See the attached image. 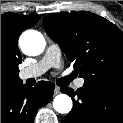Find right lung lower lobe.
Masks as SVG:
<instances>
[{"mask_svg": "<svg viewBox=\"0 0 123 123\" xmlns=\"http://www.w3.org/2000/svg\"><path fill=\"white\" fill-rule=\"evenodd\" d=\"M54 84L40 81L33 87L27 85L1 86V123H33L39 107L53 97Z\"/></svg>", "mask_w": 123, "mask_h": 123, "instance_id": "98d812e1", "label": "right lung lower lobe"}]
</instances>
